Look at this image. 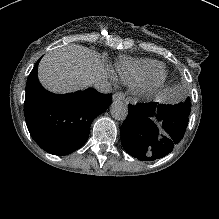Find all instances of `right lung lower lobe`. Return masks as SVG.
Here are the masks:
<instances>
[{
  "instance_id": "right-lung-lower-lobe-1",
  "label": "right lung lower lobe",
  "mask_w": 219,
  "mask_h": 219,
  "mask_svg": "<svg viewBox=\"0 0 219 219\" xmlns=\"http://www.w3.org/2000/svg\"><path fill=\"white\" fill-rule=\"evenodd\" d=\"M36 64L27 84L24 103L26 124L32 138L45 151L65 155L87 140L90 125L112 102L111 94L86 89L70 94L46 91L37 78Z\"/></svg>"
}]
</instances>
